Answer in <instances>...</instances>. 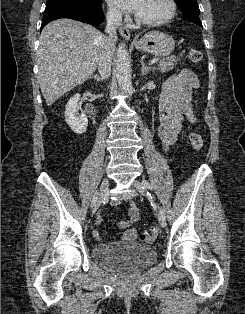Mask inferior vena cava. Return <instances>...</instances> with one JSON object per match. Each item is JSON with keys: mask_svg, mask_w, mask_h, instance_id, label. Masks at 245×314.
Wrapping results in <instances>:
<instances>
[{"mask_svg": "<svg viewBox=\"0 0 245 314\" xmlns=\"http://www.w3.org/2000/svg\"><path fill=\"white\" fill-rule=\"evenodd\" d=\"M106 19L105 32L108 35L104 37L97 64L101 79H107L111 75L112 56L117 38L116 30L122 22V14L120 11L110 10L106 15Z\"/></svg>", "mask_w": 245, "mask_h": 314, "instance_id": "inferior-vena-cava-1", "label": "inferior vena cava"}]
</instances>
